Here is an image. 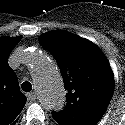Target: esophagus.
<instances>
[{
  "label": "esophagus",
  "mask_w": 125,
  "mask_h": 125,
  "mask_svg": "<svg viewBox=\"0 0 125 125\" xmlns=\"http://www.w3.org/2000/svg\"><path fill=\"white\" fill-rule=\"evenodd\" d=\"M27 98L28 100H35L36 99V92H30V93H27Z\"/></svg>",
  "instance_id": "34e87169"
}]
</instances>
